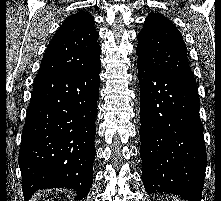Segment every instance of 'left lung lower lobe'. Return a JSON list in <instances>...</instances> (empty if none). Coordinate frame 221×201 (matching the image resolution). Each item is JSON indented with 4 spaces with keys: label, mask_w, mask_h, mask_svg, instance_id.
Masks as SVG:
<instances>
[{
    "label": "left lung lower lobe",
    "mask_w": 221,
    "mask_h": 201,
    "mask_svg": "<svg viewBox=\"0 0 221 201\" xmlns=\"http://www.w3.org/2000/svg\"><path fill=\"white\" fill-rule=\"evenodd\" d=\"M140 83V156L147 193L201 201L207 156L196 82L137 61Z\"/></svg>",
    "instance_id": "left-lung-lower-lobe-1"
}]
</instances>
